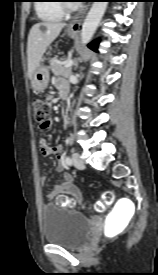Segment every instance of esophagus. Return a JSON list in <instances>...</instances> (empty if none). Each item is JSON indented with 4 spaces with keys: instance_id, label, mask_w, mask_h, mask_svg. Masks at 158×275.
Segmentation results:
<instances>
[{
    "instance_id": "34e87169",
    "label": "esophagus",
    "mask_w": 158,
    "mask_h": 275,
    "mask_svg": "<svg viewBox=\"0 0 158 275\" xmlns=\"http://www.w3.org/2000/svg\"><path fill=\"white\" fill-rule=\"evenodd\" d=\"M89 8V5H86L83 7L77 14L76 16L72 19V21L68 24V29L77 32L80 24Z\"/></svg>"
}]
</instances>
